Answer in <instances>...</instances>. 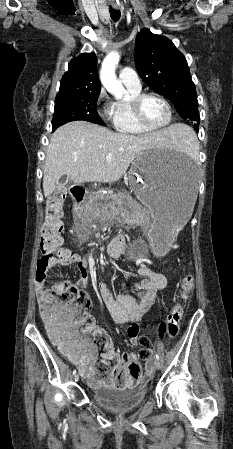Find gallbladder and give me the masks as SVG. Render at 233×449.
Masks as SVG:
<instances>
[{
  "label": "gallbladder",
  "mask_w": 233,
  "mask_h": 449,
  "mask_svg": "<svg viewBox=\"0 0 233 449\" xmlns=\"http://www.w3.org/2000/svg\"><path fill=\"white\" fill-rule=\"evenodd\" d=\"M67 182H68V177L62 176L60 178L59 183L57 184V190H56V193L58 195H62L65 193L64 186Z\"/></svg>",
  "instance_id": "1"
}]
</instances>
